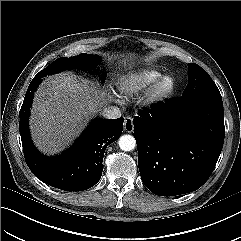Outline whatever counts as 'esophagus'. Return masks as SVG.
<instances>
[{
    "mask_svg": "<svg viewBox=\"0 0 241 241\" xmlns=\"http://www.w3.org/2000/svg\"><path fill=\"white\" fill-rule=\"evenodd\" d=\"M124 130L128 133L133 132L134 130V124H133V119L131 117H126L124 120Z\"/></svg>",
    "mask_w": 241,
    "mask_h": 241,
    "instance_id": "34e87169",
    "label": "esophagus"
}]
</instances>
